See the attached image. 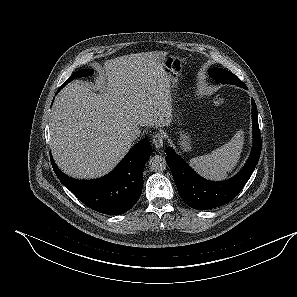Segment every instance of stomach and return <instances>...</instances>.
I'll return each instance as SVG.
<instances>
[{"label":"stomach","mask_w":297,"mask_h":297,"mask_svg":"<svg viewBox=\"0 0 297 297\" xmlns=\"http://www.w3.org/2000/svg\"><path fill=\"white\" fill-rule=\"evenodd\" d=\"M184 67V60L182 58H179L177 56H168L164 60V69L167 73L170 87L174 88L176 85V82L178 80V77L182 73V69ZM180 136L178 140V144L180 145V148L182 151L186 152L191 149V142L190 137L187 135V133L180 131Z\"/></svg>","instance_id":"0dacf381"}]
</instances>
